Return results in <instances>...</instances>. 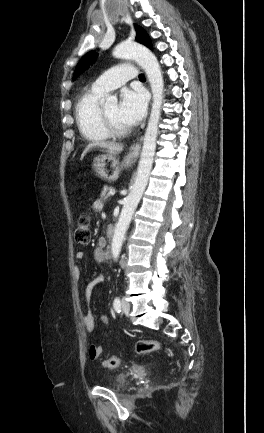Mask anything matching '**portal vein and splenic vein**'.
Here are the masks:
<instances>
[{"label": "portal vein and splenic vein", "instance_id": "obj_1", "mask_svg": "<svg viewBox=\"0 0 264 433\" xmlns=\"http://www.w3.org/2000/svg\"><path fill=\"white\" fill-rule=\"evenodd\" d=\"M115 194V190H110L109 191V195H114Z\"/></svg>", "mask_w": 264, "mask_h": 433}]
</instances>
